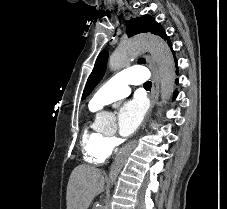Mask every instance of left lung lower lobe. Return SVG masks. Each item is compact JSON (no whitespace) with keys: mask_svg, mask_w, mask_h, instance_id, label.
I'll use <instances>...</instances> for the list:
<instances>
[{"mask_svg":"<svg viewBox=\"0 0 227 209\" xmlns=\"http://www.w3.org/2000/svg\"><path fill=\"white\" fill-rule=\"evenodd\" d=\"M172 52H173V54H174V51L172 50ZM175 61H177L176 59H175ZM176 66H177V64H176ZM178 73V72H177ZM176 83H178V80H176ZM177 96V92H175L174 93V98Z\"/></svg>","mask_w":227,"mask_h":209,"instance_id":"obj_1","label":"left lung lower lobe"}]
</instances>
